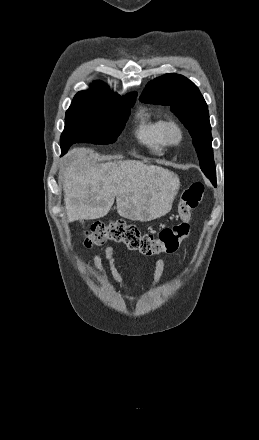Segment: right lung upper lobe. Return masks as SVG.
Here are the masks:
<instances>
[{"instance_id": "cb5924a9", "label": "right lung upper lobe", "mask_w": 259, "mask_h": 440, "mask_svg": "<svg viewBox=\"0 0 259 440\" xmlns=\"http://www.w3.org/2000/svg\"><path fill=\"white\" fill-rule=\"evenodd\" d=\"M137 93L133 92L127 96L121 98L116 93H110V91L100 81H95L91 86V91L78 92L72 104L88 105L100 108L110 107L118 102H122L128 99L135 98Z\"/></svg>"}]
</instances>
